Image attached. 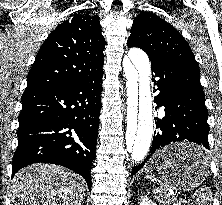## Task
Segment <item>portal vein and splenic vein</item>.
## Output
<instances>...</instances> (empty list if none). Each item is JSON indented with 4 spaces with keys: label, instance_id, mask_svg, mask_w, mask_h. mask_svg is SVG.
I'll list each match as a JSON object with an SVG mask.
<instances>
[{
    "label": "portal vein and splenic vein",
    "instance_id": "1",
    "mask_svg": "<svg viewBox=\"0 0 222 205\" xmlns=\"http://www.w3.org/2000/svg\"><path fill=\"white\" fill-rule=\"evenodd\" d=\"M167 196L169 197H175V192L172 189H168L166 192ZM180 203H186V201H184L183 199L180 200Z\"/></svg>",
    "mask_w": 222,
    "mask_h": 205
}]
</instances>
